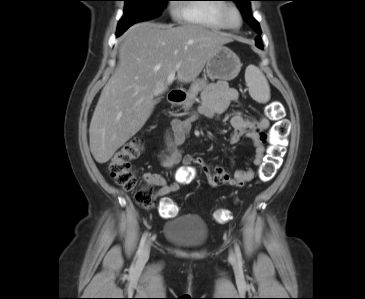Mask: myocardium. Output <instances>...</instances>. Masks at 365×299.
<instances>
[{"label":"myocardium","instance_id":"obj_1","mask_svg":"<svg viewBox=\"0 0 365 299\" xmlns=\"http://www.w3.org/2000/svg\"><path fill=\"white\" fill-rule=\"evenodd\" d=\"M234 13L237 17V24H231L229 21L230 14ZM220 21L222 23L223 28L236 31L238 30L243 23V16L239 8L233 3H226L221 12H220Z\"/></svg>","mask_w":365,"mask_h":299}]
</instances>
